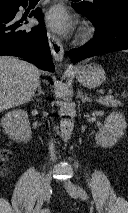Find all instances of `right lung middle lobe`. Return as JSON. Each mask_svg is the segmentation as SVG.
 <instances>
[{
    "mask_svg": "<svg viewBox=\"0 0 128 213\" xmlns=\"http://www.w3.org/2000/svg\"><path fill=\"white\" fill-rule=\"evenodd\" d=\"M12 7H8V8H0V11L6 10V9H10Z\"/></svg>",
    "mask_w": 128,
    "mask_h": 213,
    "instance_id": "right-lung-middle-lobe-1",
    "label": "right lung middle lobe"
}]
</instances>
